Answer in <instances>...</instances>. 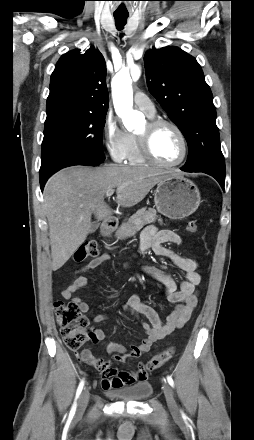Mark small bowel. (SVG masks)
Wrapping results in <instances>:
<instances>
[{"mask_svg": "<svg viewBox=\"0 0 254 440\" xmlns=\"http://www.w3.org/2000/svg\"><path fill=\"white\" fill-rule=\"evenodd\" d=\"M181 242L180 236L172 231L158 230L154 226H148L143 230L139 252L143 254L151 250L157 256L168 258L185 273V277L177 283L170 275L153 267H145L146 273L163 285L168 301L175 304V308L163 322L153 308L142 303L137 295H131L123 307L135 315H143L146 318V321L141 322L145 337L138 345H132L129 350L121 344L109 343L107 351L112 355L115 362H124L128 358H138L148 352L155 341L183 328L189 321L197 304V287L201 283V275L197 271L198 263L194 259L180 256L164 246L166 243L180 245ZM107 259V254L94 258L80 269V273L97 268ZM87 283L86 277L78 275L62 291L63 298L70 300L83 313L88 312L90 307L87 302L76 295V292L86 286ZM106 320V314H97L92 318L94 323H102ZM91 332L92 342L96 343L105 339V332L101 328L94 327ZM80 357L86 364L99 370L101 383L105 389L145 382L147 379V371L141 363L136 370L127 372L113 367L110 361L94 357L89 350H83Z\"/></svg>", "mask_w": 254, "mask_h": 440, "instance_id": "1", "label": "small bowel"}]
</instances>
